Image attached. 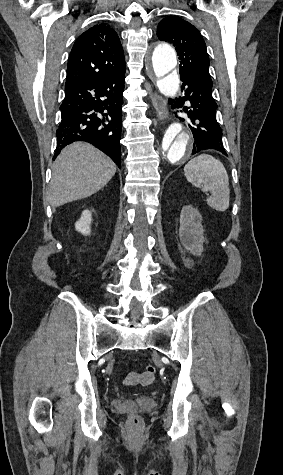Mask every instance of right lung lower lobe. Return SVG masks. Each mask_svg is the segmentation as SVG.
Segmentation results:
<instances>
[{
  "mask_svg": "<svg viewBox=\"0 0 283 475\" xmlns=\"http://www.w3.org/2000/svg\"><path fill=\"white\" fill-rule=\"evenodd\" d=\"M124 78L125 73H122L101 81L65 86L54 159L67 144L85 141L106 153L120 167Z\"/></svg>",
  "mask_w": 283,
  "mask_h": 475,
  "instance_id": "98d812e1",
  "label": "right lung lower lobe"
}]
</instances>
